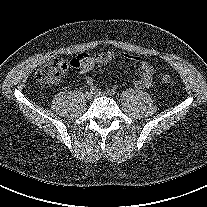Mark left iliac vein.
<instances>
[{
    "label": "left iliac vein",
    "mask_w": 207,
    "mask_h": 207,
    "mask_svg": "<svg viewBox=\"0 0 207 207\" xmlns=\"http://www.w3.org/2000/svg\"><path fill=\"white\" fill-rule=\"evenodd\" d=\"M94 96H96V97H103V96H108V94L105 93V92H98V93L94 94Z\"/></svg>",
    "instance_id": "obj_1"
}]
</instances>
